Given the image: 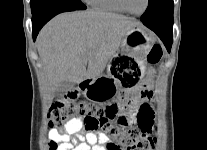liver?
I'll return each mask as SVG.
<instances>
[{"instance_id":"obj_1","label":"liver","mask_w":207,"mask_h":150,"mask_svg":"<svg viewBox=\"0 0 207 150\" xmlns=\"http://www.w3.org/2000/svg\"><path fill=\"white\" fill-rule=\"evenodd\" d=\"M139 25L133 18L94 10L59 14L48 22L37 49L49 100L64 81L79 84L100 77L126 32Z\"/></svg>"}]
</instances>
